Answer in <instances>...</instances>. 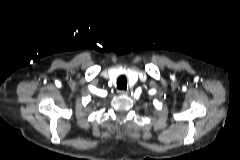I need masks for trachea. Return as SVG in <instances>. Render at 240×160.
<instances>
[{"mask_svg": "<svg viewBox=\"0 0 240 160\" xmlns=\"http://www.w3.org/2000/svg\"><path fill=\"white\" fill-rule=\"evenodd\" d=\"M117 88L120 90H126L127 88V78L125 76H120L117 80Z\"/></svg>", "mask_w": 240, "mask_h": 160, "instance_id": "3493384b", "label": "trachea"}]
</instances>
